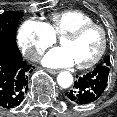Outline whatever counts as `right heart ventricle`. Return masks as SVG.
I'll use <instances>...</instances> for the list:
<instances>
[{
    "label": "right heart ventricle",
    "mask_w": 117,
    "mask_h": 117,
    "mask_svg": "<svg viewBox=\"0 0 117 117\" xmlns=\"http://www.w3.org/2000/svg\"><path fill=\"white\" fill-rule=\"evenodd\" d=\"M93 22L88 14L80 10H65L51 13L47 26L54 36H62L78 26Z\"/></svg>",
    "instance_id": "1"
}]
</instances>
